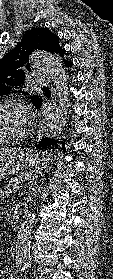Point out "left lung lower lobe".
Masks as SVG:
<instances>
[{
    "mask_svg": "<svg viewBox=\"0 0 113 279\" xmlns=\"http://www.w3.org/2000/svg\"><path fill=\"white\" fill-rule=\"evenodd\" d=\"M63 61H64V64L67 67H71L72 66V62L66 61V60H63ZM41 105H42V99L38 103L35 104V106L37 108H39ZM59 143H62L63 146L65 145L64 141L59 142L58 140H54V139L42 138L37 146L39 147L40 150H46L48 148L58 147Z\"/></svg>",
    "mask_w": 113,
    "mask_h": 279,
    "instance_id": "obj_1",
    "label": "left lung lower lobe"
}]
</instances>
